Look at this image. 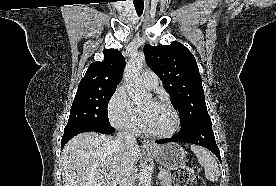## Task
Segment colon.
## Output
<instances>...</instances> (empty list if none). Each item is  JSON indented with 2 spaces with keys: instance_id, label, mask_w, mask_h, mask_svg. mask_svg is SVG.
I'll list each match as a JSON object with an SVG mask.
<instances>
[{
  "instance_id": "colon-1",
  "label": "colon",
  "mask_w": 276,
  "mask_h": 186,
  "mask_svg": "<svg viewBox=\"0 0 276 186\" xmlns=\"http://www.w3.org/2000/svg\"><path fill=\"white\" fill-rule=\"evenodd\" d=\"M174 184L175 186H206L200 176L184 171L175 174Z\"/></svg>"
}]
</instances>
